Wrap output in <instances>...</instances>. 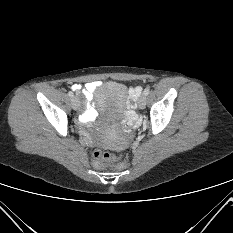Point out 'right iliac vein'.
Segmentation results:
<instances>
[{
	"mask_svg": "<svg viewBox=\"0 0 233 233\" xmlns=\"http://www.w3.org/2000/svg\"><path fill=\"white\" fill-rule=\"evenodd\" d=\"M71 105H72V108L74 110L79 109V107H80V101H79V99L76 96L72 97V99H71Z\"/></svg>",
	"mask_w": 233,
	"mask_h": 233,
	"instance_id": "right-iliac-vein-1",
	"label": "right iliac vein"
}]
</instances>
